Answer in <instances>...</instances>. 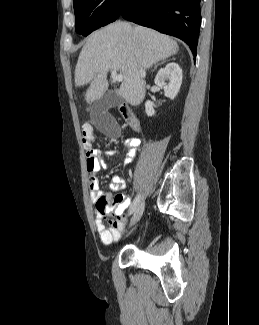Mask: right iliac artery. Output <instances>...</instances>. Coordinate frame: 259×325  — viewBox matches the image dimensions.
<instances>
[{"mask_svg":"<svg viewBox=\"0 0 259 325\" xmlns=\"http://www.w3.org/2000/svg\"><path fill=\"white\" fill-rule=\"evenodd\" d=\"M139 201H140V196L137 195V196L135 197V199L133 200V202H132L130 208H129V214H131V213H133V212L135 211V209H136V207H137Z\"/></svg>","mask_w":259,"mask_h":325,"instance_id":"82829eb1","label":"right iliac artery"}]
</instances>
